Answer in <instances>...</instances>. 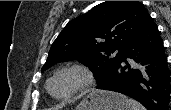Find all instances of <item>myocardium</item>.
<instances>
[{"label":"myocardium","mask_w":171,"mask_h":110,"mask_svg":"<svg viewBox=\"0 0 171 110\" xmlns=\"http://www.w3.org/2000/svg\"><path fill=\"white\" fill-rule=\"evenodd\" d=\"M64 74H74L76 76V81L65 94L60 96L54 95L51 91V84L57 77ZM95 83V74L88 66L81 63H69L54 71L47 81L46 89L54 99L67 100L80 92L91 89Z\"/></svg>","instance_id":"obj_1"}]
</instances>
